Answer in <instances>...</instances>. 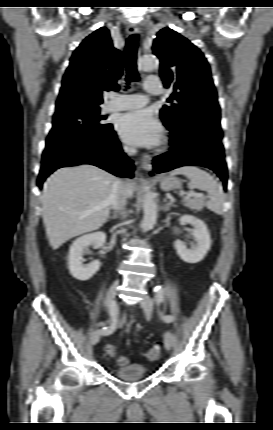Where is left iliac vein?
Segmentation results:
<instances>
[{"label": "left iliac vein", "instance_id": "4c4485c4", "mask_svg": "<svg viewBox=\"0 0 273 430\" xmlns=\"http://www.w3.org/2000/svg\"><path fill=\"white\" fill-rule=\"evenodd\" d=\"M140 305L147 315H151L153 311V301L150 296L145 295L140 302ZM174 343V337L170 332H166L164 335V345L167 350H170Z\"/></svg>", "mask_w": 273, "mask_h": 430}]
</instances>
